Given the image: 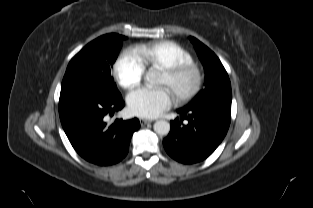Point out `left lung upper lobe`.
I'll return each mask as SVG.
<instances>
[{"label":"left lung upper lobe","mask_w":313,"mask_h":208,"mask_svg":"<svg viewBox=\"0 0 313 208\" xmlns=\"http://www.w3.org/2000/svg\"><path fill=\"white\" fill-rule=\"evenodd\" d=\"M195 50L204 66L205 89L201 90L187 107L205 103H225L232 101L231 84L228 74L219 58L207 46L190 37Z\"/></svg>","instance_id":"1"}]
</instances>
